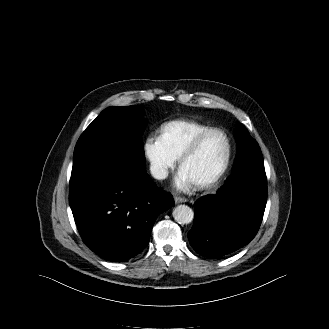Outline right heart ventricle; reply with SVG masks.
<instances>
[{"instance_id":"right-heart-ventricle-1","label":"right heart ventricle","mask_w":329,"mask_h":329,"mask_svg":"<svg viewBox=\"0 0 329 329\" xmlns=\"http://www.w3.org/2000/svg\"><path fill=\"white\" fill-rule=\"evenodd\" d=\"M210 127L192 120H173L163 124L159 139L167 150L178 159L190 142Z\"/></svg>"}]
</instances>
